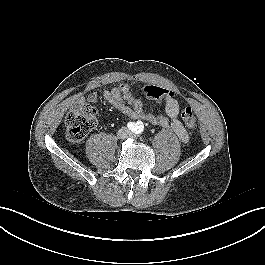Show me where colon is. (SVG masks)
I'll use <instances>...</instances> for the list:
<instances>
[{
    "label": "colon",
    "instance_id": "colon-1",
    "mask_svg": "<svg viewBox=\"0 0 265 265\" xmlns=\"http://www.w3.org/2000/svg\"><path fill=\"white\" fill-rule=\"evenodd\" d=\"M142 91L147 97L155 100L163 99L167 94V89L154 85H146ZM182 120L188 129L192 130L196 127V117L190 106L183 109ZM96 122V110L90 105L70 112L66 117L68 139L72 143L81 142L95 128Z\"/></svg>",
    "mask_w": 265,
    "mask_h": 265
}]
</instances>
